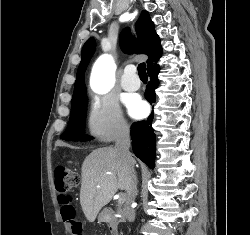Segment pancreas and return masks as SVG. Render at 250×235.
I'll list each match as a JSON object with an SVG mask.
<instances>
[{"label": "pancreas", "mask_w": 250, "mask_h": 235, "mask_svg": "<svg viewBox=\"0 0 250 235\" xmlns=\"http://www.w3.org/2000/svg\"><path fill=\"white\" fill-rule=\"evenodd\" d=\"M122 202H119V205L121 206Z\"/></svg>", "instance_id": "cf45deb5"}]
</instances>
